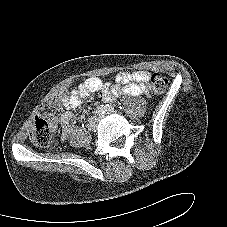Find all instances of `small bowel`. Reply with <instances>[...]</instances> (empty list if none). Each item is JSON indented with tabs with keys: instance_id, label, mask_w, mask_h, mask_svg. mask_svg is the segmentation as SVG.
<instances>
[{
	"instance_id": "1",
	"label": "small bowel",
	"mask_w": 227,
	"mask_h": 227,
	"mask_svg": "<svg viewBox=\"0 0 227 227\" xmlns=\"http://www.w3.org/2000/svg\"><path fill=\"white\" fill-rule=\"evenodd\" d=\"M149 78L150 73L147 71L120 72L115 77V84L104 83L97 77L87 78L66 95L64 98L66 110L53 119V124L62 127V139H66L71 133L70 123L73 119V113L70 110L77 108L83 98L97 91H101L103 100L106 102H112L121 95L147 94L150 91Z\"/></svg>"
}]
</instances>
